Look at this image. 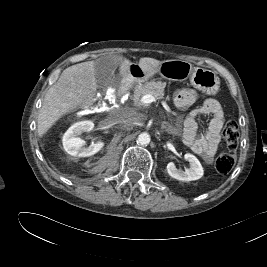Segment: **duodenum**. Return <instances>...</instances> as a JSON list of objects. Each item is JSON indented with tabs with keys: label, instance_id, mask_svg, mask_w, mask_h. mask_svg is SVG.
Returning <instances> with one entry per match:
<instances>
[{
	"label": "duodenum",
	"instance_id": "obj_1",
	"mask_svg": "<svg viewBox=\"0 0 267 267\" xmlns=\"http://www.w3.org/2000/svg\"><path fill=\"white\" fill-rule=\"evenodd\" d=\"M134 82V78L132 76L126 77L123 82L121 83L120 86V95L125 96V94L129 91L131 88L132 84Z\"/></svg>",
	"mask_w": 267,
	"mask_h": 267
}]
</instances>
